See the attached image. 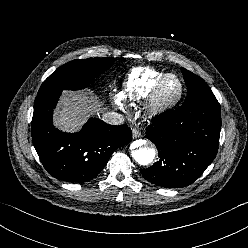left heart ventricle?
Here are the masks:
<instances>
[{
    "label": "left heart ventricle",
    "mask_w": 248,
    "mask_h": 248,
    "mask_svg": "<svg viewBox=\"0 0 248 248\" xmlns=\"http://www.w3.org/2000/svg\"><path fill=\"white\" fill-rule=\"evenodd\" d=\"M179 83L175 78L168 79L162 87L161 96L163 99H171L177 95Z\"/></svg>",
    "instance_id": "b2bd125f"
}]
</instances>
